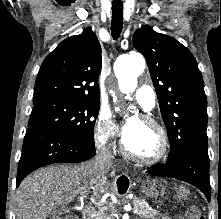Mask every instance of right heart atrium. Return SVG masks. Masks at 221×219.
Segmentation results:
<instances>
[{"label": "right heart atrium", "instance_id": "obj_1", "mask_svg": "<svg viewBox=\"0 0 221 219\" xmlns=\"http://www.w3.org/2000/svg\"><path fill=\"white\" fill-rule=\"evenodd\" d=\"M115 135V126L108 111H100L95 121L94 137L98 148L109 150Z\"/></svg>", "mask_w": 221, "mask_h": 219}]
</instances>
